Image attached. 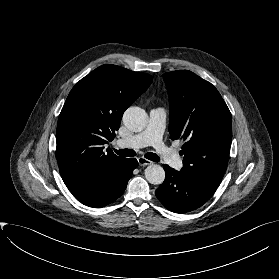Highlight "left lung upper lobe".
Returning <instances> with one entry per match:
<instances>
[{
  "label": "left lung upper lobe",
  "mask_w": 279,
  "mask_h": 279,
  "mask_svg": "<svg viewBox=\"0 0 279 279\" xmlns=\"http://www.w3.org/2000/svg\"><path fill=\"white\" fill-rule=\"evenodd\" d=\"M170 104L171 139L185 144L181 173L217 189L227 169L231 113L217 89L188 70L163 74Z\"/></svg>",
  "instance_id": "left-lung-upper-lobe-1"
}]
</instances>
